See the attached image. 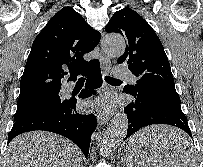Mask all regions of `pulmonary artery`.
I'll return each mask as SVG.
<instances>
[{"mask_svg": "<svg viewBox=\"0 0 203 167\" xmlns=\"http://www.w3.org/2000/svg\"><path fill=\"white\" fill-rule=\"evenodd\" d=\"M114 74L117 77L125 78V79L132 81V82L136 81V77L132 74V72L128 68L123 67V66L115 67L114 68Z\"/></svg>", "mask_w": 203, "mask_h": 167, "instance_id": "obj_1", "label": "pulmonary artery"}]
</instances>
